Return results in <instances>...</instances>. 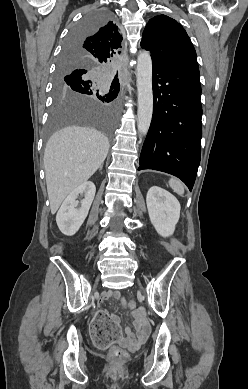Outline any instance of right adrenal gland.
Here are the masks:
<instances>
[{
  "label": "right adrenal gland",
  "instance_id": "right-adrenal-gland-1",
  "mask_svg": "<svg viewBox=\"0 0 248 389\" xmlns=\"http://www.w3.org/2000/svg\"><path fill=\"white\" fill-rule=\"evenodd\" d=\"M102 168H103V164L99 167V170L101 171L102 170Z\"/></svg>",
  "mask_w": 248,
  "mask_h": 389
}]
</instances>
